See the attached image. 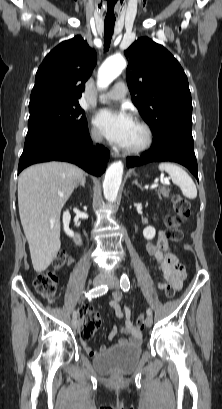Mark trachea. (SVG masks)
Returning <instances> with one entry per match:
<instances>
[{
	"label": "trachea",
	"instance_id": "1",
	"mask_svg": "<svg viewBox=\"0 0 222 409\" xmlns=\"http://www.w3.org/2000/svg\"><path fill=\"white\" fill-rule=\"evenodd\" d=\"M115 20H105L104 23V49L107 51L110 47Z\"/></svg>",
	"mask_w": 222,
	"mask_h": 409
}]
</instances>
